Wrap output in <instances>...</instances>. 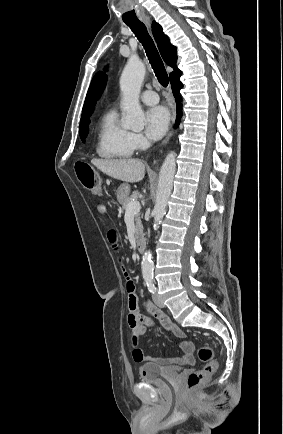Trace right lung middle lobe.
Returning a JSON list of instances; mask_svg holds the SVG:
<instances>
[{"mask_svg": "<svg viewBox=\"0 0 283 434\" xmlns=\"http://www.w3.org/2000/svg\"><path fill=\"white\" fill-rule=\"evenodd\" d=\"M88 124L87 123H81L80 124V130H79V134H80V138L84 141V139L86 138L87 134H88Z\"/></svg>", "mask_w": 283, "mask_h": 434, "instance_id": "right-lung-middle-lobe-1", "label": "right lung middle lobe"}]
</instances>
